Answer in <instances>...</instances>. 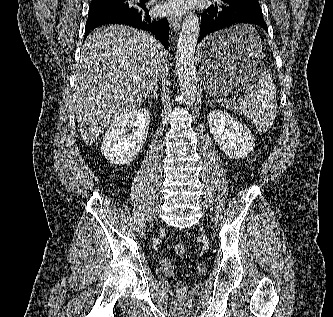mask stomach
Returning <instances> with one entry per match:
<instances>
[{
	"instance_id": "1",
	"label": "stomach",
	"mask_w": 333,
	"mask_h": 317,
	"mask_svg": "<svg viewBox=\"0 0 333 317\" xmlns=\"http://www.w3.org/2000/svg\"><path fill=\"white\" fill-rule=\"evenodd\" d=\"M256 40V41H253ZM203 81L199 88L213 96H228L246 89L265 74L261 42L254 24H229V29L206 33L200 50Z\"/></svg>"
}]
</instances>
